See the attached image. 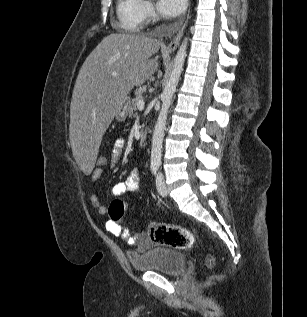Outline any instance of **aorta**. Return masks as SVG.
Segmentation results:
<instances>
[{"instance_id":"obj_1","label":"aorta","mask_w":307,"mask_h":317,"mask_svg":"<svg viewBox=\"0 0 307 317\" xmlns=\"http://www.w3.org/2000/svg\"><path fill=\"white\" fill-rule=\"evenodd\" d=\"M187 44L188 38H185L176 54L172 72L161 94L162 106L152 136V149L150 158L152 167H158L161 164L162 144L164 131L166 128L167 114L183 70L187 53Z\"/></svg>"}]
</instances>
